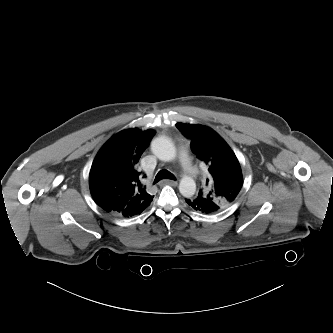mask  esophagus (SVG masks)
I'll use <instances>...</instances> for the list:
<instances>
[{
	"mask_svg": "<svg viewBox=\"0 0 333 333\" xmlns=\"http://www.w3.org/2000/svg\"><path fill=\"white\" fill-rule=\"evenodd\" d=\"M161 184H166V185H171V186H176L178 184L177 181H174V180H169V179H166V180H163L161 182Z\"/></svg>",
	"mask_w": 333,
	"mask_h": 333,
	"instance_id": "esophagus-1",
	"label": "esophagus"
}]
</instances>
